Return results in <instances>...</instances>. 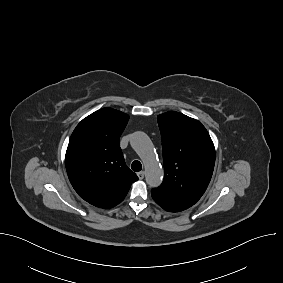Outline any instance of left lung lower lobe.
Instances as JSON below:
<instances>
[{
  "instance_id": "1",
  "label": "left lung lower lobe",
  "mask_w": 283,
  "mask_h": 283,
  "mask_svg": "<svg viewBox=\"0 0 283 283\" xmlns=\"http://www.w3.org/2000/svg\"><path fill=\"white\" fill-rule=\"evenodd\" d=\"M151 195H152V198L154 199V201L160 205L163 209H165L166 211H169V212H178L177 209H175L174 207H172L171 205H169L167 202H165L163 199H161L159 197V195L152 191L151 190Z\"/></svg>"
}]
</instances>
